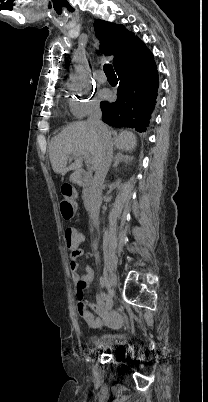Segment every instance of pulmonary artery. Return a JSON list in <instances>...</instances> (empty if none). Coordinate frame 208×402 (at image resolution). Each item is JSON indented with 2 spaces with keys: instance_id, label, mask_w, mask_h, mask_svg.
<instances>
[{
  "instance_id": "1",
  "label": "pulmonary artery",
  "mask_w": 208,
  "mask_h": 402,
  "mask_svg": "<svg viewBox=\"0 0 208 402\" xmlns=\"http://www.w3.org/2000/svg\"><path fill=\"white\" fill-rule=\"evenodd\" d=\"M79 54H80V53H79ZM79 54H78V55H79ZM96 73H97V75H99V76H104V75H106L107 70H106V68H104V67H99V68H97Z\"/></svg>"
}]
</instances>
